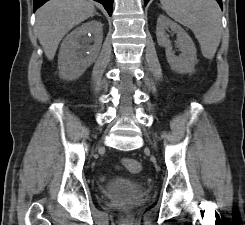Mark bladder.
<instances>
[{
	"instance_id": "31cf9c89",
	"label": "bladder",
	"mask_w": 245,
	"mask_h": 225,
	"mask_svg": "<svg viewBox=\"0 0 245 225\" xmlns=\"http://www.w3.org/2000/svg\"><path fill=\"white\" fill-rule=\"evenodd\" d=\"M142 183L129 180H112L106 184L104 196H129L144 190Z\"/></svg>"
}]
</instances>
